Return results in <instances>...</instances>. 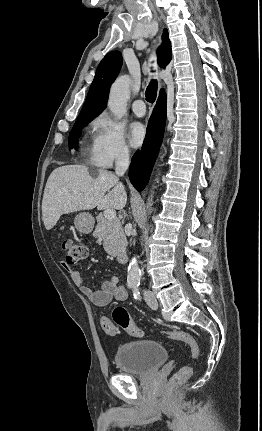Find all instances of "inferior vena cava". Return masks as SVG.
<instances>
[{
    "instance_id": "602c4592",
    "label": "inferior vena cava",
    "mask_w": 262,
    "mask_h": 431,
    "mask_svg": "<svg viewBox=\"0 0 262 431\" xmlns=\"http://www.w3.org/2000/svg\"><path fill=\"white\" fill-rule=\"evenodd\" d=\"M129 166V151L127 148H122L116 155L115 172L118 176H122Z\"/></svg>"
}]
</instances>
